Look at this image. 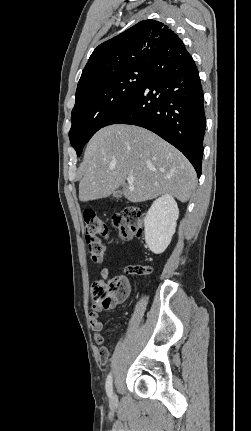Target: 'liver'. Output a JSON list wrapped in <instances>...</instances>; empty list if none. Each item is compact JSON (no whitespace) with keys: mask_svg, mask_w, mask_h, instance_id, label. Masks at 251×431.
I'll return each instance as SVG.
<instances>
[{"mask_svg":"<svg viewBox=\"0 0 251 431\" xmlns=\"http://www.w3.org/2000/svg\"><path fill=\"white\" fill-rule=\"evenodd\" d=\"M79 199L105 198L122 187L132 203L163 194L187 202L196 185V172L175 147L144 128L114 124L89 141L80 166ZM128 176L135 178L126 184Z\"/></svg>","mask_w":251,"mask_h":431,"instance_id":"liver-1","label":"liver"}]
</instances>
